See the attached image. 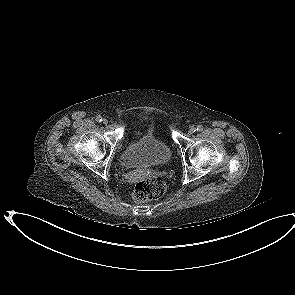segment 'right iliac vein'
Instances as JSON below:
<instances>
[{
    "mask_svg": "<svg viewBox=\"0 0 295 295\" xmlns=\"http://www.w3.org/2000/svg\"><path fill=\"white\" fill-rule=\"evenodd\" d=\"M103 123L105 124V125H107L108 124V120L107 119H103Z\"/></svg>",
    "mask_w": 295,
    "mask_h": 295,
    "instance_id": "right-iliac-vein-1",
    "label": "right iliac vein"
}]
</instances>
